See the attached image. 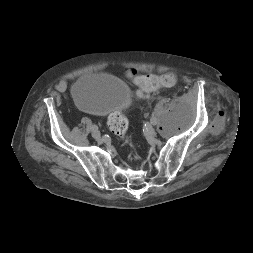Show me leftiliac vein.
Listing matches in <instances>:
<instances>
[{
    "label": "left iliac vein",
    "instance_id": "1",
    "mask_svg": "<svg viewBox=\"0 0 253 253\" xmlns=\"http://www.w3.org/2000/svg\"><path fill=\"white\" fill-rule=\"evenodd\" d=\"M148 134L149 135H155V131H154V129L152 128V126L151 125H149V131H148Z\"/></svg>",
    "mask_w": 253,
    "mask_h": 253
}]
</instances>
